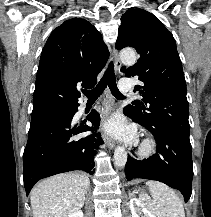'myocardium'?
<instances>
[{"instance_id":"1","label":"myocardium","mask_w":211,"mask_h":217,"mask_svg":"<svg viewBox=\"0 0 211 217\" xmlns=\"http://www.w3.org/2000/svg\"><path fill=\"white\" fill-rule=\"evenodd\" d=\"M157 150V142L153 137L147 136L144 138V140L141 142L139 149H138V155L142 158H149L153 154H155Z\"/></svg>"}]
</instances>
